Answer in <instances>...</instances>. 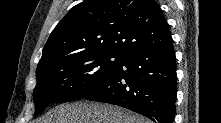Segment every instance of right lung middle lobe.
Returning <instances> with one entry per match:
<instances>
[{
	"instance_id": "obj_1",
	"label": "right lung middle lobe",
	"mask_w": 221,
	"mask_h": 123,
	"mask_svg": "<svg viewBox=\"0 0 221 123\" xmlns=\"http://www.w3.org/2000/svg\"><path fill=\"white\" fill-rule=\"evenodd\" d=\"M126 54L93 50L48 61L37 67L33 100L35 115L54 101L77 100L94 85L103 82Z\"/></svg>"
}]
</instances>
